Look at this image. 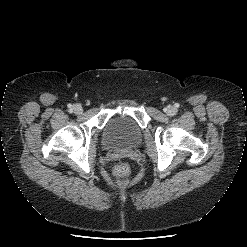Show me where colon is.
<instances>
[{
	"mask_svg": "<svg viewBox=\"0 0 247 247\" xmlns=\"http://www.w3.org/2000/svg\"><path fill=\"white\" fill-rule=\"evenodd\" d=\"M130 173V166L127 162H119L114 168V175L118 179L126 178Z\"/></svg>",
	"mask_w": 247,
	"mask_h": 247,
	"instance_id": "obj_1",
	"label": "colon"
}]
</instances>
